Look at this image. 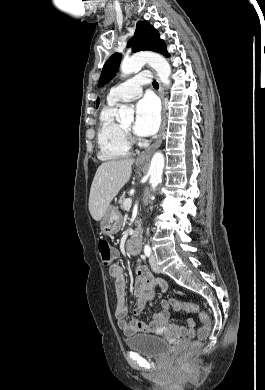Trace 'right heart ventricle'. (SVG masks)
I'll use <instances>...</instances> for the list:
<instances>
[{
	"label": "right heart ventricle",
	"mask_w": 265,
	"mask_h": 390,
	"mask_svg": "<svg viewBox=\"0 0 265 390\" xmlns=\"http://www.w3.org/2000/svg\"><path fill=\"white\" fill-rule=\"evenodd\" d=\"M116 110L117 103L108 102L100 113L97 139L101 160H119L130 154L131 143L115 119Z\"/></svg>",
	"instance_id": "e07e8e85"
}]
</instances>
